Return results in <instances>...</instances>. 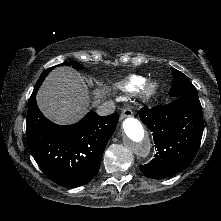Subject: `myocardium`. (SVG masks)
Instances as JSON below:
<instances>
[{
  "label": "myocardium",
  "mask_w": 221,
  "mask_h": 221,
  "mask_svg": "<svg viewBox=\"0 0 221 221\" xmlns=\"http://www.w3.org/2000/svg\"><path fill=\"white\" fill-rule=\"evenodd\" d=\"M160 86L156 81L146 82L140 92V96L143 102L150 103L153 101L159 94Z\"/></svg>",
  "instance_id": "f54148a6"
}]
</instances>
